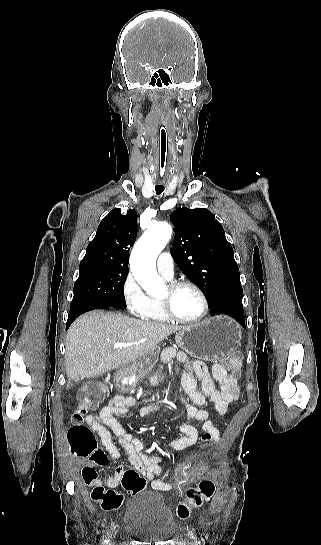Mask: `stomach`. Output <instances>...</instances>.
I'll return each instance as SVG.
<instances>
[{"label":"stomach","instance_id":"1","mask_svg":"<svg viewBox=\"0 0 321 545\" xmlns=\"http://www.w3.org/2000/svg\"><path fill=\"white\" fill-rule=\"evenodd\" d=\"M176 345L186 351L194 359H203V361H217L220 357H226L229 353L236 351L241 341V329L230 317H210L202 323L184 327L182 331H177L175 335ZM159 347L153 351L139 357L133 363L126 367H119L115 373V383L118 389H121L122 377L141 375L148 373L155 367L159 357ZM125 389H129L126 385Z\"/></svg>","mask_w":321,"mask_h":545}]
</instances>
